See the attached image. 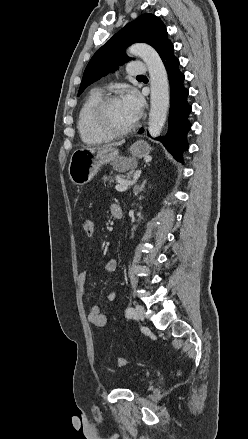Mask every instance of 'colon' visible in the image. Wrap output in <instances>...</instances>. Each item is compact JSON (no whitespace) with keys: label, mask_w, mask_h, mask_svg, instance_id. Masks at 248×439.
Masks as SVG:
<instances>
[{"label":"colon","mask_w":248,"mask_h":439,"mask_svg":"<svg viewBox=\"0 0 248 439\" xmlns=\"http://www.w3.org/2000/svg\"><path fill=\"white\" fill-rule=\"evenodd\" d=\"M82 227L86 235L91 236L94 230L93 221L90 218H85L82 222ZM117 364L119 366H124L127 363V360L123 357L117 358Z\"/></svg>","instance_id":"1"}]
</instances>
